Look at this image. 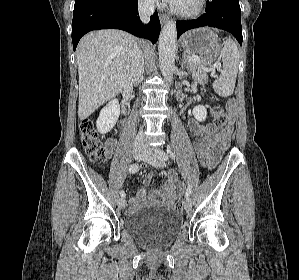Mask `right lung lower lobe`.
I'll use <instances>...</instances> for the list:
<instances>
[{"label":"right lung lower lobe","instance_id":"98d812e1","mask_svg":"<svg viewBox=\"0 0 299 280\" xmlns=\"http://www.w3.org/2000/svg\"><path fill=\"white\" fill-rule=\"evenodd\" d=\"M121 29L155 43L161 25L155 11L150 23L142 24L137 0H75L72 42L75 50L81 37L92 30Z\"/></svg>","mask_w":299,"mask_h":280}]
</instances>
